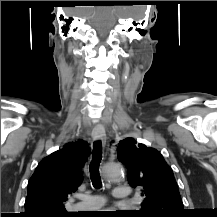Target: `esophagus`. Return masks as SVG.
<instances>
[{
	"label": "esophagus",
	"mask_w": 217,
	"mask_h": 217,
	"mask_svg": "<svg viewBox=\"0 0 217 217\" xmlns=\"http://www.w3.org/2000/svg\"><path fill=\"white\" fill-rule=\"evenodd\" d=\"M92 138L96 141L101 140L103 144H105V139H106L105 128L100 124L96 125L92 130Z\"/></svg>",
	"instance_id": "34e87169"
}]
</instances>
